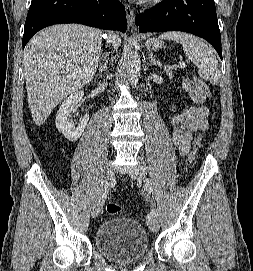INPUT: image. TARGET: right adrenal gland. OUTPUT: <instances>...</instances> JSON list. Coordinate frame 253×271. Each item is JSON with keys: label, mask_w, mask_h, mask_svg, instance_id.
<instances>
[{"label": "right adrenal gland", "mask_w": 253, "mask_h": 271, "mask_svg": "<svg viewBox=\"0 0 253 271\" xmlns=\"http://www.w3.org/2000/svg\"><path fill=\"white\" fill-rule=\"evenodd\" d=\"M107 67V60L104 58L103 63H100L99 72H103Z\"/></svg>", "instance_id": "right-adrenal-gland-1"}]
</instances>
